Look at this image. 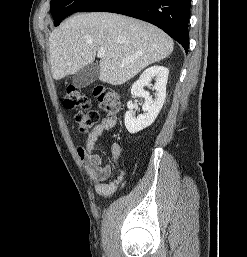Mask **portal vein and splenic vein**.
I'll return each mask as SVG.
<instances>
[{"label": "portal vein and splenic vein", "instance_id": "18ae733b", "mask_svg": "<svg viewBox=\"0 0 247 257\" xmlns=\"http://www.w3.org/2000/svg\"><path fill=\"white\" fill-rule=\"evenodd\" d=\"M98 57H103L105 55V51L103 49L98 50L97 52Z\"/></svg>", "mask_w": 247, "mask_h": 257}]
</instances>
